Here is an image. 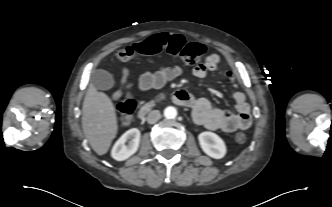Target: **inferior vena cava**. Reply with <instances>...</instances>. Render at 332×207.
I'll return each instance as SVG.
<instances>
[{"label": "inferior vena cava", "instance_id": "602c4592", "mask_svg": "<svg viewBox=\"0 0 332 207\" xmlns=\"http://www.w3.org/2000/svg\"><path fill=\"white\" fill-rule=\"evenodd\" d=\"M161 118V114L160 111L158 110H152L149 112L148 116H147V122L149 124H154L156 123L159 119Z\"/></svg>", "mask_w": 332, "mask_h": 207}]
</instances>
